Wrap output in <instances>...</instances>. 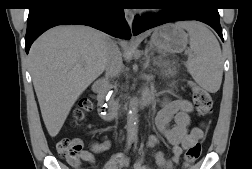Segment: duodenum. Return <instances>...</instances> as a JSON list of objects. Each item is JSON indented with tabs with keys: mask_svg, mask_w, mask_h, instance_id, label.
Here are the masks:
<instances>
[{
	"mask_svg": "<svg viewBox=\"0 0 252 169\" xmlns=\"http://www.w3.org/2000/svg\"><path fill=\"white\" fill-rule=\"evenodd\" d=\"M93 91L97 94L102 119L107 122L112 121L116 116V103L108 98L105 82L102 79L96 81L93 85ZM151 103V98L146 96L136 104L141 108H146L151 106Z\"/></svg>",
	"mask_w": 252,
	"mask_h": 169,
	"instance_id": "1",
	"label": "duodenum"
}]
</instances>
